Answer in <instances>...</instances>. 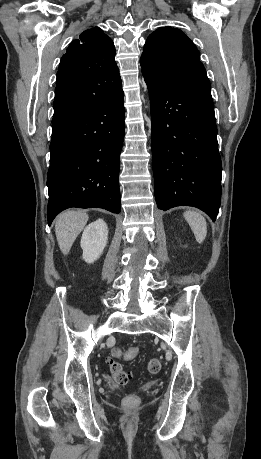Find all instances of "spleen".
<instances>
[{"label":"spleen","mask_w":261,"mask_h":459,"mask_svg":"<svg viewBox=\"0 0 261 459\" xmlns=\"http://www.w3.org/2000/svg\"><path fill=\"white\" fill-rule=\"evenodd\" d=\"M183 215L193 231L196 241L202 243L207 236V223L204 216L197 211H186Z\"/></svg>","instance_id":"1"}]
</instances>
